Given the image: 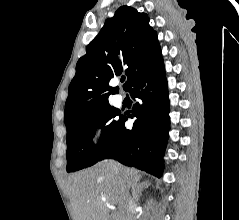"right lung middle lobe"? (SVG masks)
Listing matches in <instances>:
<instances>
[{
	"label": "right lung middle lobe",
	"instance_id": "1",
	"mask_svg": "<svg viewBox=\"0 0 239 220\" xmlns=\"http://www.w3.org/2000/svg\"><path fill=\"white\" fill-rule=\"evenodd\" d=\"M117 111L110 105L87 113L67 129V172H74L90 167L98 162L105 148L111 142L118 121L112 120ZM102 128L98 144L92 138L96 128Z\"/></svg>",
	"mask_w": 239,
	"mask_h": 220
}]
</instances>
